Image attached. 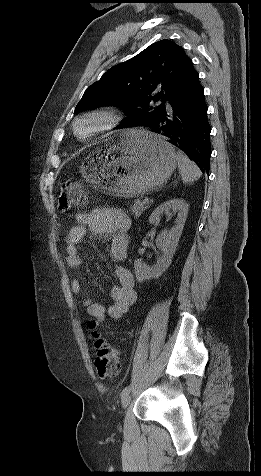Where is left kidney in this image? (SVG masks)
<instances>
[{
  "instance_id": "1",
  "label": "left kidney",
  "mask_w": 261,
  "mask_h": 476,
  "mask_svg": "<svg viewBox=\"0 0 261 476\" xmlns=\"http://www.w3.org/2000/svg\"><path fill=\"white\" fill-rule=\"evenodd\" d=\"M188 209L189 205L183 199H171L159 205L152 212L149 217L151 224H157L160 220V216L163 213H169L171 210L178 212V214L176 223L171 230L163 231L156 239L157 248L161 251V255L157 258L156 263L149 267L143 263L141 259L134 261L135 276L139 282L151 278H158L168 269L182 234Z\"/></svg>"
}]
</instances>
